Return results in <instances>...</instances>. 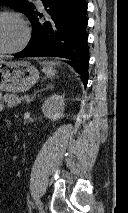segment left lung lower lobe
I'll use <instances>...</instances> for the list:
<instances>
[{
	"instance_id": "1",
	"label": "left lung lower lobe",
	"mask_w": 128,
	"mask_h": 213,
	"mask_svg": "<svg viewBox=\"0 0 128 213\" xmlns=\"http://www.w3.org/2000/svg\"><path fill=\"white\" fill-rule=\"evenodd\" d=\"M46 14L33 10L29 20L32 23V39L28 46L15 57L53 56L71 60L68 62L84 80L88 81L89 51L87 43L85 0H41ZM44 17L40 22L36 17Z\"/></svg>"
}]
</instances>
